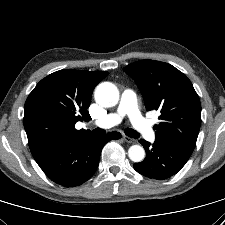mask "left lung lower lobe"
<instances>
[{
  "mask_svg": "<svg viewBox=\"0 0 225 225\" xmlns=\"http://www.w3.org/2000/svg\"><path fill=\"white\" fill-rule=\"evenodd\" d=\"M146 151V158L134 164V169L148 177L163 180L176 174L185 165L191 154L160 141L151 144L139 140Z\"/></svg>",
  "mask_w": 225,
  "mask_h": 225,
  "instance_id": "0a47b994",
  "label": "left lung lower lobe"
}]
</instances>
